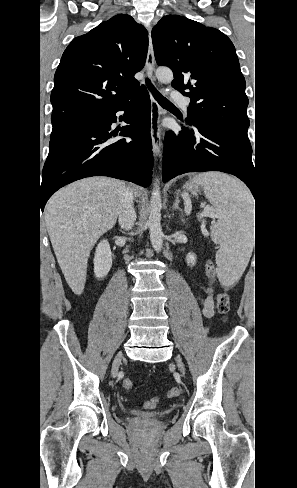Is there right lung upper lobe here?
<instances>
[{
  "instance_id": "cb5924a9",
  "label": "right lung upper lobe",
  "mask_w": 297,
  "mask_h": 488,
  "mask_svg": "<svg viewBox=\"0 0 297 488\" xmlns=\"http://www.w3.org/2000/svg\"><path fill=\"white\" fill-rule=\"evenodd\" d=\"M147 50V31L127 14L73 39L54 77L52 132H64L127 100L139 88L134 75L143 68Z\"/></svg>"
}]
</instances>
